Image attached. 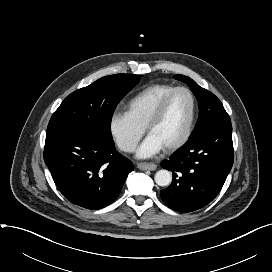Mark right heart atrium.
I'll list each match as a JSON object with an SVG mask.
<instances>
[{
	"instance_id": "1",
	"label": "right heart atrium",
	"mask_w": 272,
	"mask_h": 272,
	"mask_svg": "<svg viewBox=\"0 0 272 272\" xmlns=\"http://www.w3.org/2000/svg\"><path fill=\"white\" fill-rule=\"evenodd\" d=\"M145 128L138 125L127 112L114 111L109 119V132L124 152H132L144 134Z\"/></svg>"
}]
</instances>
